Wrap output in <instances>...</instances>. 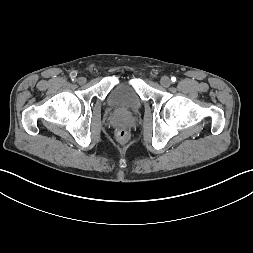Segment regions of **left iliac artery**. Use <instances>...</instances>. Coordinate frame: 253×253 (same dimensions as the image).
I'll return each instance as SVG.
<instances>
[{"mask_svg":"<svg viewBox=\"0 0 253 253\" xmlns=\"http://www.w3.org/2000/svg\"><path fill=\"white\" fill-rule=\"evenodd\" d=\"M171 81H172V82H175V81H176V77L173 76V77L171 78Z\"/></svg>","mask_w":253,"mask_h":253,"instance_id":"left-iliac-artery-1","label":"left iliac artery"}]
</instances>
